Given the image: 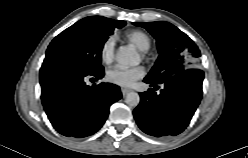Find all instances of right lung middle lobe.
I'll use <instances>...</instances> for the list:
<instances>
[{"label": "right lung middle lobe", "mask_w": 248, "mask_h": 158, "mask_svg": "<svg viewBox=\"0 0 248 158\" xmlns=\"http://www.w3.org/2000/svg\"><path fill=\"white\" fill-rule=\"evenodd\" d=\"M124 21L104 24L94 17L76 22L56 36L50 43L42 66H63L83 72L103 69L102 48L115 27L121 28Z\"/></svg>", "instance_id": "obj_1"}]
</instances>
